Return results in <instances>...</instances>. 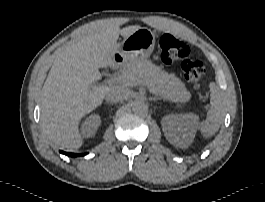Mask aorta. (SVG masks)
<instances>
[{
  "instance_id": "aorta-1",
  "label": "aorta",
  "mask_w": 265,
  "mask_h": 202,
  "mask_svg": "<svg viewBox=\"0 0 265 202\" xmlns=\"http://www.w3.org/2000/svg\"><path fill=\"white\" fill-rule=\"evenodd\" d=\"M132 111L137 114H144L148 111V106L144 101L138 100L133 102Z\"/></svg>"
}]
</instances>
